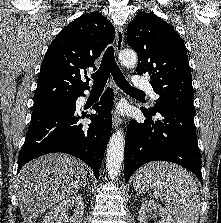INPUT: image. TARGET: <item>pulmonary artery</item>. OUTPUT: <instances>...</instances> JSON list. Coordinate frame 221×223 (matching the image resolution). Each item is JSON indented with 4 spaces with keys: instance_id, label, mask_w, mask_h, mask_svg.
Instances as JSON below:
<instances>
[{
    "instance_id": "1",
    "label": "pulmonary artery",
    "mask_w": 221,
    "mask_h": 223,
    "mask_svg": "<svg viewBox=\"0 0 221 223\" xmlns=\"http://www.w3.org/2000/svg\"><path fill=\"white\" fill-rule=\"evenodd\" d=\"M133 85L137 89L147 90L154 100L158 98V95L151 89L150 83L147 79L136 77L133 79Z\"/></svg>"
}]
</instances>
